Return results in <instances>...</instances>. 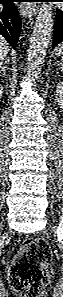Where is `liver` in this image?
Returning a JSON list of instances; mask_svg holds the SVG:
<instances>
[{
	"mask_svg": "<svg viewBox=\"0 0 63 297\" xmlns=\"http://www.w3.org/2000/svg\"><path fill=\"white\" fill-rule=\"evenodd\" d=\"M9 53V45L7 41L0 38V64L2 65Z\"/></svg>",
	"mask_w": 63,
	"mask_h": 297,
	"instance_id": "obj_1",
	"label": "liver"
}]
</instances>
